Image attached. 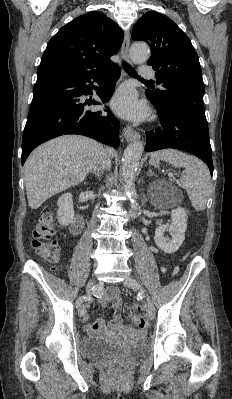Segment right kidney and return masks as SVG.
<instances>
[{"label":"right kidney","instance_id":"1","mask_svg":"<svg viewBox=\"0 0 232 399\" xmlns=\"http://www.w3.org/2000/svg\"><path fill=\"white\" fill-rule=\"evenodd\" d=\"M58 221L61 225H69L74 217L72 194H62L57 200Z\"/></svg>","mask_w":232,"mask_h":399}]
</instances>
